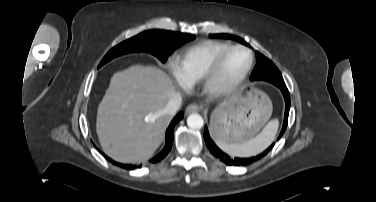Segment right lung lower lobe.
<instances>
[{"instance_id":"98d812e1","label":"right lung lower lobe","mask_w":376,"mask_h":202,"mask_svg":"<svg viewBox=\"0 0 376 202\" xmlns=\"http://www.w3.org/2000/svg\"><path fill=\"white\" fill-rule=\"evenodd\" d=\"M183 118V113L182 112H179L176 117L172 120V122L170 123L167 131H166V144H165V147L163 148V150L157 155L155 156L154 158H152L150 160V162L152 163H156L158 161H161L163 158L166 157V155L169 153L171 147H172V144H173V131H174V127L175 125ZM108 160L110 162H112L113 164L115 165H118L122 168H125V169H128V170H131V169H135L136 167L133 166V165H125V164H118L117 162H114L112 161L110 158H108Z\"/></svg>"}]
</instances>
